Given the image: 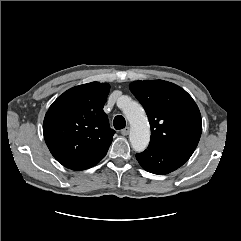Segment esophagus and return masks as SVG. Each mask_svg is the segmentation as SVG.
Listing matches in <instances>:
<instances>
[{
    "label": "esophagus",
    "mask_w": 241,
    "mask_h": 241,
    "mask_svg": "<svg viewBox=\"0 0 241 241\" xmlns=\"http://www.w3.org/2000/svg\"><path fill=\"white\" fill-rule=\"evenodd\" d=\"M129 132H130V128L129 127H126V128L121 130V134L123 136H127L129 134Z\"/></svg>",
    "instance_id": "34e87169"
}]
</instances>
